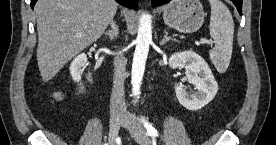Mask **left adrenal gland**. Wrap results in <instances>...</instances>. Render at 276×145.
I'll return each mask as SVG.
<instances>
[{
  "instance_id": "obj_1",
  "label": "left adrenal gland",
  "mask_w": 276,
  "mask_h": 145,
  "mask_svg": "<svg viewBox=\"0 0 276 145\" xmlns=\"http://www.w3.org/2000/svg\"><path fill=\"white\" fill-rule=\"evenodd\" d=\"M164 33H165V35H164L162 41H160V45H164V44L167 43L169 40L178 42L177 39L168 36V32H167L166 30H164Z\"/></svg>"
}]
</instances>
